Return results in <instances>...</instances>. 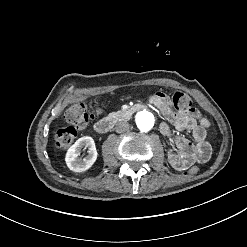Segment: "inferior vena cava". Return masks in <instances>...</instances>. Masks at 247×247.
Instances as JSON below:
<instances>
[{
    "label": "inferior vena cava",
    "mask_w": 247,
    "mask_h": 247,
    "mask_svg": "<svg viewBox=\"0 0 247 247\" xmlns=\"http://www.w3.org/2000/svg\"><path fill=\"white\" fill-rule=\"evenodd\" d=\"M129 123L126 121H120L115 125V131L117 133H124L129 129Z\"/></svg>",
    "instance_id": "obj_1"
}]
</instances>
